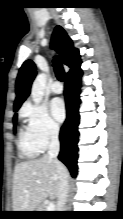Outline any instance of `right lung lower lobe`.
I'll return each mask as SVG.
<instances>
[{"label":"right lung lower lobe","mask_w":123,"mask_h":219,"mask_svg":"<svg viewBox=\"0 0 123 219\" xmlns=\"http://www.w3.org/2000/svg\"><path fill=\"white\" fill-rule=\"evenodd\" d=\"M81 76L80 65L66 76L64 94L66 98L67 119L61 127L59 136L61 150L58 158L68 167L73 177H76L77 174V143L80 118L78 108L81 102L79 99Z\"/></svg>","instance_id":"right-lung-lower-lobe-1"}]
</instances>
